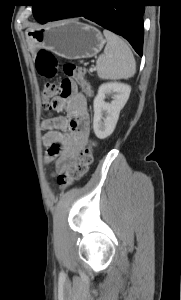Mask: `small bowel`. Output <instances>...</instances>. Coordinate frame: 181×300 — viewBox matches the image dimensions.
Listing matches in <instances>:
<instances>
[{
  "label": "small bowel",
  "instance_id": "small-bowel-1",
  "mask_svg": "<svg viewBox=\"0 0 181 300\" xmlns=\"http://www.w3.org/2000/svg\"><path fill=\"white\" fill-rule=\"evenodd\" d=\"M62 92L54 97V111L65 113L44 122L48 129L44 137L47 148L46 162H54L56 172H61L75 162L89 135V114L85 97L78 92L74 82L65 80Z\"/></svg>",
  "mask_w": 181,
  "mask_h": 300
}]
</instances>
